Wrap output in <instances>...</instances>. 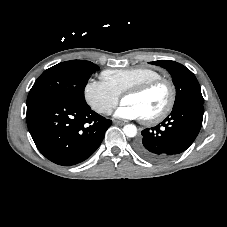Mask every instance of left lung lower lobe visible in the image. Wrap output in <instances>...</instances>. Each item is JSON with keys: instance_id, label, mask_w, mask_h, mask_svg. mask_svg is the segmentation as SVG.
Wrapping results in <instances>:
<instances>
[{"instance_id": "left-lung-lower-lobe-1", "label": "left lung lower lobe", "mask_w": 227, "mask_h": 227, "mask_svg": "<svg viewBox=\"0 0 227 227\" xmlns=\"http://www.w3.org/2000/svg\"><path fill=\"white\" fill-rule=\"evenodd\" d=\"M202 102L189 101L173 107L170 115L151 129H144L134 149L142 158L163 162L185 151L197 137L203 120Z\"/></svg>"}]
</instances>
